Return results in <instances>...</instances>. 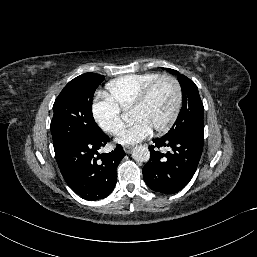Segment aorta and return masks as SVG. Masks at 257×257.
Segmentation results:
<instances>
[{"instance_id":"1","label":"aorta","mask_w":257,"mask_h":257,"mask_svg":"<svg viewBox=\"0 0 257 257\" xmlns=\"http://www.w3.org/2000/svg\"><path fill=\"white\" fill-rule=\"evenodd\" d=\"M132 158L138 162H147L150 159V151L143 145L136 146L132 150Z\"/></svg>"}]
</instances>
